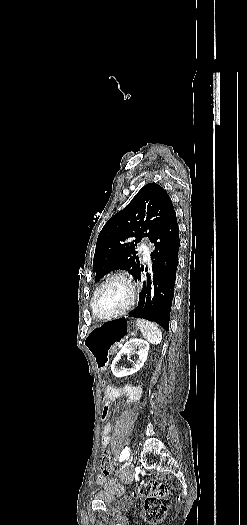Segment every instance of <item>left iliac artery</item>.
<instances>
[{
  "instance_id": "1",
  "label": "left iliac artery",
  "mask_w": 247,
  "mask_h": 525,
  "mask_svg": "<svg viewBox=\"0 0 247 525\" xmlns=\"http://www.w3.org/2000/svg\"><path fill=\"white\" fill-rule=\"evenodd\" d=\"M129 454H130L129 447L126 446V447L123 449V451L121 452V454H120L119 461L122 462L124 459L128 458V457H129Z\"/></svg>"
}]
</instances>
